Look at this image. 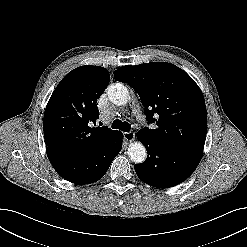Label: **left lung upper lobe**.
Masks as SVG:
<instances>
[{
	"label": "left lung upper lobe",
	"mask_w": 247,
	"mask_h": 247,
	"mask_svg": "<svg viewBox=\"0 0 247 247\" xmlns=\"http://www.w3.org/2000/svg\"><path fill=\"white\" fill-rule=\"evenodd\" d=\"M115 79L128 83L140 96L145 114L156 129L139 131L162 146L202 155L207 132L203 94L194 80L166 62L123 66Z\"/></svg>",
	"instance_id": "left-lung-upper-lobe-1"
}]
</instances>
